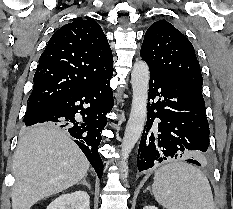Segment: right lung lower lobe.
<instances>
[{
  "label": "right lung lower lobe",
  "mask_w": 233,
  "mask_h": 209,
  "mask_svg": "<svg viewBox=\"0 0 233 209\" xmlns=\"http://www.w3.org/2000/svg\"><path fill=\"white\" fill-rule=\"evenodd\" d=\"M112 76L113 74L87 88L54 99L24 121L26 126L54 122L58 127H64L75 138L76 144L86 155L99 178L102 177L103 162L97 148L101 142V130L107 124L105 115L114 103L110 88ZM77 113H80L82 118H77Z\"/></svg>",
  "instance_id": "1"
}]
</instances>
